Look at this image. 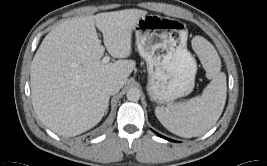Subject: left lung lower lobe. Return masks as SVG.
Here are the masks:
<instances>
[{
    "label": "left lung lower lobe",
    "instance_id": "left-lung-lower-lobe-1",
    "mask_svg": "<svg viewBox=\"0 0 267 166\" xmlns=\"http://www.w3.org/2000/svg\"><path fill=\"white\" fill-rule=\"evenodd\" d=\"M156 133V132H155ZM158 136H160V137H162V138H164V139H167V140H170L171 141V139H168V138H166V137H164V136H162V135H160V134H158V133H156ZM173 141V140H172Z\"/></svg>",
    "mask_w": 267,
    "mask_h": 166
}]
</instances>
